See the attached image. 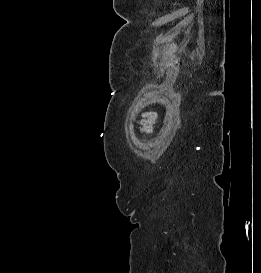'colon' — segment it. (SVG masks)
I'll list each match as a JSON object with an SVG mask.
<instances>
[{
  "mask_svg": "<svg viewBox=\"0 0 261 273\" xmlns=\"http://www.w3.org/2000/svg\"><path fill=\"white\" fill-rule=\"evenodd\" d=\"M155 121V115L152 112H147L143 115L139 125V132L142 134L148 133Z\"/></svg>",
  "mask_w": 261,
  "mask_h": 273,
  "instance_id": "obj_1",
  "label": "colon"
}]
</instances>
